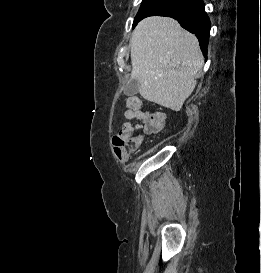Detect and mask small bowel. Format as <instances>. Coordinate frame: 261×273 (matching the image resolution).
<instances>
[{
  "label": "small bowel",
  "instance_id": "c3829d8e",
  "mask_svg": "<svg viewBox=\"0 0 261 273\" xmlns=\"http://www.w3.org/2000/svg\"><path fill=\"white\" fill-rule=\"evenodd\" d=\"M124 117L128 120L123 125V130L133 133L137 129H142L147 134L158 133L162 130L165 124V115L159 111H143L135 113L130 107L124 112ZM130 120H138L140 124L132 125Z\"/></svg>",
  "mask_w": 261,
  "mask_h": 273
}]
</instances>
